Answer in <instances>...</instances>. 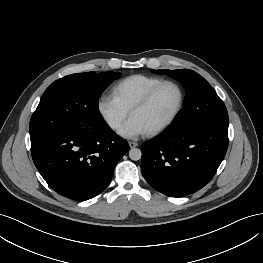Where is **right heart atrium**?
<instances>
[{
  "mask_svg": "<svg viewBox=\"0 0 263 263\" xmlns=\"http://www.w3.org/2000/svg\"><path fill=\"white\" fill-rule=\"evenodd\" d=\"M97 111L104 123L111 129L117 130L129 111L125 109L112 95H101L97 101Z\"/></svg>",
  "mask_w": 263,
  "mask_h": 263,
  "instance_id": "d8ad5b80",
  "label": "right heart atrium"
}]
</instances>
